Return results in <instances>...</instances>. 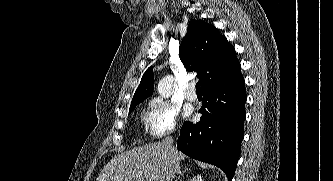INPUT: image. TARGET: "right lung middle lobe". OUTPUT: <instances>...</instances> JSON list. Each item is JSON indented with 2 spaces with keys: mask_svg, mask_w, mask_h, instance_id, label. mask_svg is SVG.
<instances>
[{
  "mask_svg": "<svg viewBox=\"0 0 333 181\" xmlns=\"http://www.w3.org/2000/svg\"><path fill=\"white\" fill-rule=\"evenodd\" d=\"M135 106H136V105L130 107V109H129V113H131V111L133 110V108H134Z\"/></svg>",
  "mask_w": 333,
  "mask_h": 181,
  "instance_id": "1",
  "label": "right lung middle lobe"
}]
</instances>
